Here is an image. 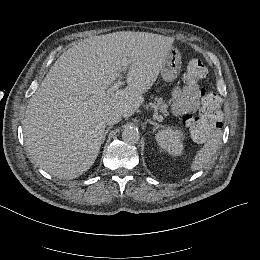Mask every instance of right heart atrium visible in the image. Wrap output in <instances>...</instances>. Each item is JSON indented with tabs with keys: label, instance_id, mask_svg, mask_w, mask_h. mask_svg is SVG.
<instances>
[{
	"label": "right heart atrium",
	"instance_id": "d8ad5b80",
	"mask_svg": "<svg viewBox=\"0 0 260 260\" xmlns=\"http://www.w3.org/2000/svg\"><path fill=\"white\" fill-rule=\"evenodd\" d=\"M153 61L147 54H140L131 58L128 64L126 79L129 83L142 87L152 69Z\"/></svg>",
	"mask_w": 260,
	"mask_h": 260
}]
</instances>
